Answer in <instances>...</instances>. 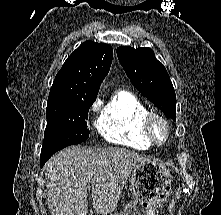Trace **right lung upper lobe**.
Instances as JSON below:
<instances>
[{"label":"right lung upper lobe","instance_id":"cb5924a9","mask_svg":"<svg viewBox=\"0 0 221 215\" xmlns=\"http://www.w3.org/2000/svg\"><path fill=\"white\" fill-rule=\"evenodd\" d=\"M112 58L110 45L93 41L82 43L57 73L47 104L95 101Z\"/></svg>","mask_w":221,"mask_h":215}]
</instances>
